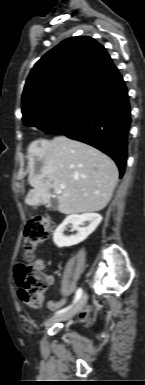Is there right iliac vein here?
<instances>
[{"label":"right iliac vein","mask_w":145,"mask_h":385,"mask_svg":"<svg viewBox=\"0 0 145 385\" xmlns=\"http://www.w3.org/2000/svg\"><path fill=\"white\" fill-rule=\"evenodd\" d=\"M87 299H88L87 294H84L80 298L78 303L71 310H69V311H67V312H65L63 314H60V315H57V316L49 318L48 321L46 322V325L50 326V325H52V324H54L56 322L63 321V320H68V319L73 318L74 316H76L84 308V306L87 303Z\"/></svg>","instance_id":"right-iliac-vein-1"}]
</instances>
